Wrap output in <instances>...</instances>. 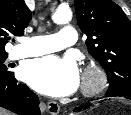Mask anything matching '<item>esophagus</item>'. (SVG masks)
<instances>
[{
    "label": "esophagus",
    "mask_w": 131,
    "mask_h": 115,
    "mask_svg": "<svg viewBox=\"0 0 131 115\" xmlns=\"http://www.w3.org/2000/svg\"><path fill=\"white\" fill-rule=\"evenodd\" d=\"M47 110L51 115H57L60 112V106L55 101H50L47 103Z\"/></svg>",
    "instance_id": "1"
}]
</instances>
